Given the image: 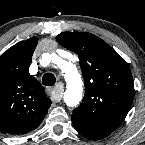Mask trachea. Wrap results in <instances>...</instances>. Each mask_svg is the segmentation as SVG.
<instances>
[{
  "label": "trachea",
  "mask_w": 145,
  "mask_h": 145,
  "mask_svg": "<svg viewBox=\"0 0 145 145\" xmlns=\"http://www.w3.org/2000/svg\"><path fill=\"white\" fill-rule=\"evenodd\" d=\"M55 76L52 73H45L42 77V83L45 86H53L55 84Z\"/></svg>",
  "instance_id": "1"
}]
</instances>
